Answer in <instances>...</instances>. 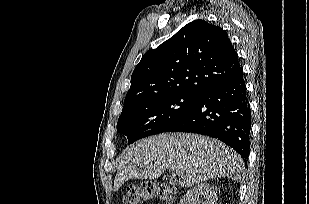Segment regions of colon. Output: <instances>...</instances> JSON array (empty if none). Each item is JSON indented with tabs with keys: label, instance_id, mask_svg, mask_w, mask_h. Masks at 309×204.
<instances>
[{
	"label": "colon",
	"instance_id": "obj_1",
	"mask_svg": "<svg viewBox=\"0 0 309 204\" xmlns=\"http://www.w3.org/2000/svg\"><path fill=\"white\" fill-rule=\"evenodd\" d=\"M175 189L163 181L143 182L140 185H132L125 189L124 204H141L153 198L171 200Z\"/></svg>",
	"mask_w": 309,
	"mask_h": 204
}]
</instances>
